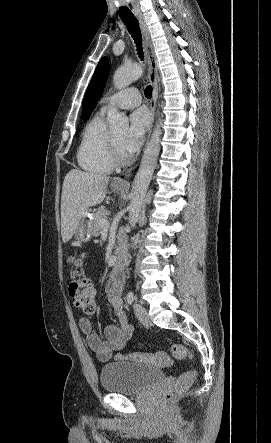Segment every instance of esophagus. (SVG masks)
<instances>
[{
  "mask_svg": "<svg viewBox=\"0 0 271 443\" xmlns=\"http://www.w3.org/2000/svg\"><path fill=\"white\" fill-rule=\"evenodd\" d=\"M135 16L139 22V26H140L142 34H143L145 56H146L147 64H148V68H149L148 80H149V83L153 87L152 99L150 102V122H149V127H148V132H149V136H150L153 122H154L156 101H157V97H158V83H157L158 64H157V59H156V55L154 52L153 42H152L147 24H146L142 15H135ZM133 170L134 169H131L127 173H125L124 178L116 177L113 179L112 182L116 183V184L124 185V186H129V182L127 181V179L132 175Z\"/></svg>",
  "mask_w": 271,
  "mask_h": 443,
  "instance_id": "esophagus-1",
  "label": "esophagus"
}]
</instances>
